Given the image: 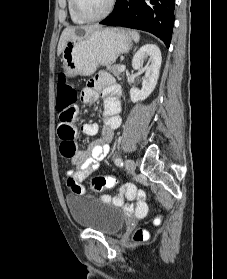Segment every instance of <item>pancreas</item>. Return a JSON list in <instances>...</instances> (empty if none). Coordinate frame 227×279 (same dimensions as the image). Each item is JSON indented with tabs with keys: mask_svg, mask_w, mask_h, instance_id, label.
Segmentation results:
<instances>
[{
	"mask_svg": "<svg viewBox=\"0 0 227 279\" xmlns=\"http://www.w3.org/2000/svg\"><path fill=\"white\" fill-rule=\"evenodd\" d=\"M119 65H108L107 70L110 71L114 76L119 77L121 72L118 70Z\"/></svg>",
	"mask_w": 227,
	"mask_h": 279,
	"instance_id": "1",
	"label": "pancreas"
}]
</instances>
